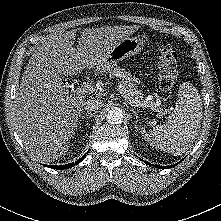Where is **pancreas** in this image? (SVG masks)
Listing matches in <instances>:
<instances>
[{
	"label": "pancreas",
	"mask_w": 221,
	"mask_h": 221,
	"mask_svg": "<svg viewBox=\"0 0 221 221\" xmlns=\"http://www.w3.org/2000/svg\"><path fill=\"white\" fill-rule=\"evenodd\" d=\"M119 73L121 75V85L126 90V95L129 96V100L142 102L143 94L142 91L138 89L135 84L136 79L123 68L116 67L114 68L112 75ZM152 109H155L158 112V116H162L163 112L158 106L152 105Z\"/></svg>",
	"instance_id": "obj_1"
}]
</instances>
